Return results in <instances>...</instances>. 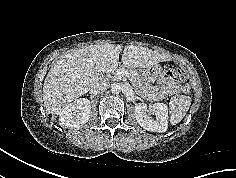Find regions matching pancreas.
Instances as JSON below:
<instances>
[{"instance_id":"pancreas-1","label":"pancreas","mask_w":236,"mask_h":178,"mask_svg":"<svg viewBox=\"0 0 236 178\" xmlns=\"http://www.w3.org/2000/svg\"><path fill=\"white\" fill-rule=\"evenodd\" d=\"M121 70L128 72L129 79L133 83L137 94L149 100L162 98L163 94L158 92V89L154 91L153 88L149 84H147L141 79V76L139 75V73L134 69H124V68L117 69L114 73L115 79H118V77L116 76V73Z\"/></svg>"}]
</instances>
